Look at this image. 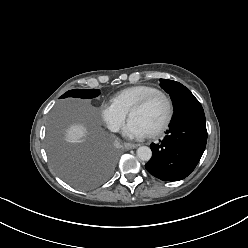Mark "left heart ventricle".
<instances>
[{"label": "left heart ventricle", "mask_w": 248, "mask_h": 248, "mask_svg": "<svg viewBox=\"0 0 248 248\" xmlns=\"http://www.w3.org/2000/svg\"><path fill=\"white\" fill-rule=\"evenodd\" d=\"M165 114L166 104L158 97L145 108L132 112L130 119L136 120L147 132H150L162 122Z\"/></svg>", "instance_id": "obj_1"}]
</instances>
